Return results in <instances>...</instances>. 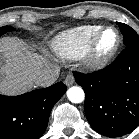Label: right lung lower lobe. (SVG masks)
<instances>
[{
	"label": "right lung lower lobe",
	"instance_id": "right-lung-lower-lobe-1",
	"mask_svg": "<svg viewBox=\"0 0 139 139\" xmlns=\"http://www.w3.org/2000/svg\"><path fill=\"white\" fill-rule=\"evenodd\" d=\"M67 88L58 82L19 96L0 95V139H38L55 103Z\"/></svg>",
	"mask_w": 139,
	"mask_h": 139
}]
</instances>
